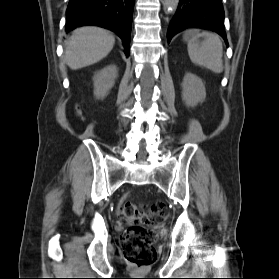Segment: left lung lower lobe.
Wrapping results in <instances>:
<instances>
[{"instance_id": "1", "label": "left lung lower lobe", "mask_w": 279, "mask_h": 279, "mask_svg": "<svg viewBox=\"0 0 279 279\" xmlns=\"http://www.w3.org/2000/svg\"><path fill=\"white\" fill-rule=\"evenodd\" d=\"M191 27L215 31L221 35L227 43L222 1L180 0L167 32L168 42L180 31Z\"/></svg>"}]
</instances>
